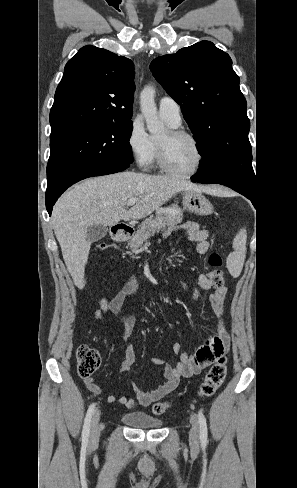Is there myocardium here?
Wrapping results in <instances>:
<instances>
[{
	"label": "myocardium",
	"mask_w": 297,
	"mask_h": 488,
	"mask_svg": "<svg viewBox=\"0 0 297 488\" xmlns=\"http://www.w3.org/2000/svg\"><path fill=\"white\" fill-rule=\"evenodd\" d=\"M169 134L172 138H187L190 141H192V143L194 144V146L197 150V162H196L195 166L189 171L182 172V171L175 170L174 168H172L170 166V164L168 162L167 149H166L165 144L158 141L157 142V148H158L157 162H158V165L160 166V168L164 172H166L170 175L178 176V177H191V176L197 174L200 171V169L203 165V162H204V152H203V148H202V145L199 142V140L192 133H190L186 130H183V129H172L169 131Z\"/></svg>",
	"instance_id": "f54148a6"
}]
</instances>
